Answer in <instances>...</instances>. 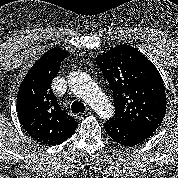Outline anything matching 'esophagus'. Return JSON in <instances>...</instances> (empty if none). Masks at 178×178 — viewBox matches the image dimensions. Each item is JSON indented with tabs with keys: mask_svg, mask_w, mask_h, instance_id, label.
<instances>
[{
	"mask_svg": "<svg viewBox=\"0 0 178 178\" xmlns=\"http://www.w3.org/2000/svg\"><path fill=\"white\" fill-rule=\"evenodd\" d=\"M91 112H92V110L91 109H87L86 111H85V113H77L75 116H76V118L77 119H81V118H83L84 116H87V115H89V114H91Z\"/></svg>",
	"mask_w": 178,
	"mask_h": 178,
	"instance_id": "34e87169",
	"label": "esophagus"
}]
</instances>
